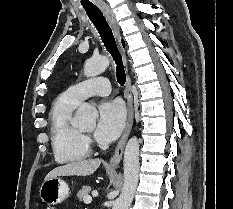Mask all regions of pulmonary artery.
Instances as JSON below:
<instances>
[{
	"mask_svg": "<svg viewBox=\"0 0 233 209\" xmlns=\"http://www.w3.org/2000/svg\"><path fill=\"white\" fill-rule=\"evenodd\" d=\"M110 82L105 77H95L71 86L66 92L76 102L90 96H106L110 93Z\"/></svg>",
	"mask_w": 233,
	"mask_h": 209,
	"instance_id": "obj_1",
	"label": "pulmonary artery"
}]
</instances>
